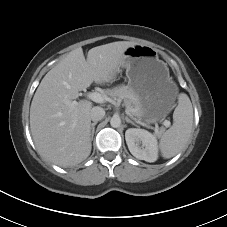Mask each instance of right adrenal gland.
Returning <instances> with one entry per match:
<instances>
[{"label":"right adrenal gland","mask_w":227,"mask_h":227,"mask_svg":"<svg viewBox=\"0 0 227 227\" xmlns=\"http://www.w3.org/2000/svg\"><path fill=\"white\" fill-rule=\"evenodd\" d=\"M97 121L93 122L91 124V140L93 139V136H94V132H95V126L97 125Z\"/></svg>","instance_id":"right-adrenal-gland-1"}]
</instances>
